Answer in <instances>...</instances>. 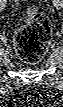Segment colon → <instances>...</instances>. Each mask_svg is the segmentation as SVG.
Returning a JSON list of instances; mask_svg holds the SVG:
<instances>
[{
  "instance_id": "1",
  "label": "colon",
  "mask_w": 63,
  "mask_h": 107,
  "mask_svg": "<svg viewBox=\"0 0 63 107\" xmlns=\"http://www.w3.org/2000/svg\"><path fill=\"white\" fill-rule=\"evenodd\" d=\"M51 38L48 18L36 9H30L26 20L14 35L17 55L27 63H35L41 59Z\"/></svg>"
}]
</instances>
